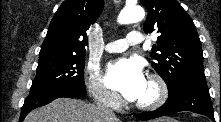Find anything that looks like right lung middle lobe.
<instances>
[{
	"label": "right lung middle lobe",
	"instance_id": "1",
	"mask_svg": "<svg viewBox=\"0 0 221 122\" xmlns=\"http://www.w3.org/2000/svg\"><path fill=\"white\" fill-rule=\"evenodd\" d=\"M85 56H57L39 59L30 91L70 86L85 89Z\"/></svg>",
	"mask_w": 221,
	"mask_h": 122
}]
</instances>
